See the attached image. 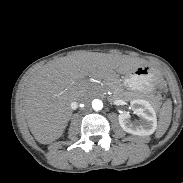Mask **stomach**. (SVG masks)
I'll return each mask as SVG.
<instances>
[{
    "instance_id": "obj_1",
    "label": "stomach",
    "mask_w": 183,
    "mask_h": 183,
    "mask_svg": "<svg viewBox=\"0 0 183 183\" xmlns=\"http://www.w3.org/2000/svg\"><path fill=\"white\" fill-rule=\"evenodd\" d=\"M159 74L148 66H139L126 74L123 86L131 91L149 92L153 82L158 81Z\"/></svg>"
}]
</instances>
